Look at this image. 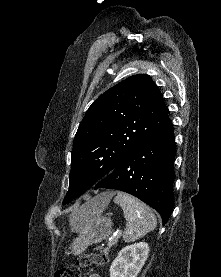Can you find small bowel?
<instances>
[{
	"label": "small bowel",
	"mask_w": 221,
	"mask_h": 277,
	"mask_svg": "<svg viewBox=\"0 0 221 277\" xmlns=\"http://www.w3.org/2000/svg\"><path fill=\"white\" fill-rule=\"evenodd\" d=\"M88 277H101V276L99 274L92 273V274L88 275Z\"/></svg>",
	"instance_id": "obj_1"
}]
</instances>
